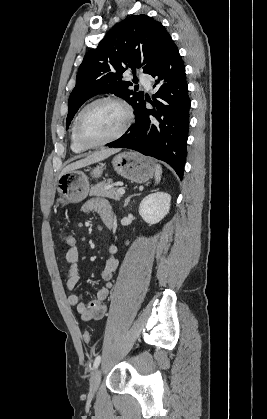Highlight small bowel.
Listing matches in <instances>:
<instances>
[{
    "instance_id": "small-bowel-1",
    "label": "small bowel",
    "mask_w": 267,
    "mask_h": 419,
    "mask_svg": "<svg viewBox=\"0 0 267 419\" xmlns=\"http://www.w3.org/2000/svg\"><path fill=\"white\" fill-rule=\"evenodd\" d=\"M85 212H97L105 223L107 220L113 221V210L111 206L103 200L93 199L85 204ZM116 246L112 244L109 248L111 256L107 259L104 269L101 272V278L104 281L98 291L96 299L89 303L82 302L79 295L73 293L68 297V304L76 309L83 321L100 320L104 317L107 306L104 303L108 298L110 289L114 280V272L118 267V260L114 256ZM79 251L76 245L68 248L65 254L66 286L70 291H75L78 287L80 276L78 272Z\"/></svg>"
}]
</instances>
